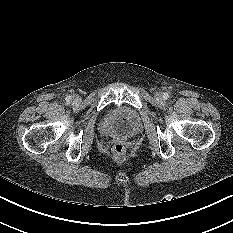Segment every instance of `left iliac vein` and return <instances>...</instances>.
<instances>
[{
  "mask_svg": "<svg viewBox=\"0 0 233 233\" xmlns=\"http://www.w3.org/2000/svg\"><path fill=\"white\" fill-rule=\"evenodd\" d=\"M155 97H156V99H158V100H162V99H163V94H162L161 92H157V93L155 94Z\"/></svg>",
  "mask_w": 233,
  "mask_h": 233,
  "instance_id": "4c4485c4",
  "label": "left iliac vein"
}]
</instances>
